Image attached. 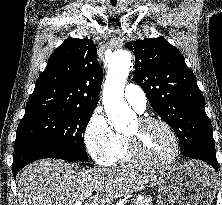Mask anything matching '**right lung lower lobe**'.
Listing matches in <instances>:
<instances>
[{
	"mask_svg": "<svg viewBox=\"0 0 222 205\" xmlns=\"http://www.w3.org/2000/svg\"><path fill=\"white\" fill-rule=\"evenodd\" d=\"M42 158H57L68 161H78L65 151L48 144L30 142L14 146L12 171L14 177L25 165Z\"/></svg>",
	"mask_w": 222,
	"mask_h": 205,
	"instance_id": "98d812e1",
	"label": "right lung lower lobe"
}]
</instances>
